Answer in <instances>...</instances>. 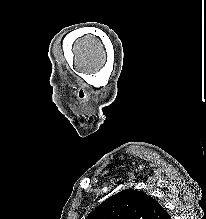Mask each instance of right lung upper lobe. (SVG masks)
<instances>
[{
  "mask_svg": "<svg viewBox=\"0 0 206 219\" xmlns=\"http://www.w3.org/2000/svg\"><path fill=\"white\" fill-rule=\"evenodd\" d=\"M86 219H171V216L143 191L126 189L106 199Z\"/></svg>",
  "mask_w": 206,
  "mask_h": 219,
  "instance_id": "right-lung-upper-lobe-1",
  "label": "right lung upper lobe"
}]
</instances>
